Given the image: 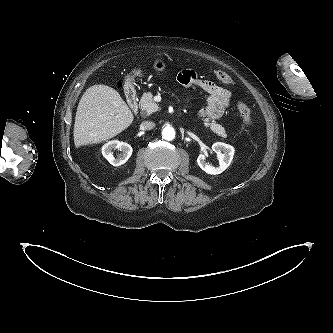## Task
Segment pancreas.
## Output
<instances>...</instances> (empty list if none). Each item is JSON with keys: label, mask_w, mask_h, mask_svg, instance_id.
I'll return each instance as SVG.
<instances>
[{"label": "pancreas", "mask_w": 333, "mask_h": 333, "mask_svg": "<svg viewBox=\"0 0 333 333\" xmlns=\"http://www.w3.org/2000/svg\"><path fill=\"white\" fill-rule=\"evenodd\" d=\"M140 108L143 116H148L159 109L157 103L153 100V94L151 92H147L142 95ZM203 124L205 127H209L211 131L216 133L218 136L226 138L227 134L225 129L221 125L217 124L216 121H210L208 118H205L203 119Z\"/></svg>", "instance_id": "1"}]
</instances>
